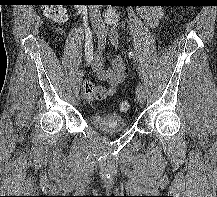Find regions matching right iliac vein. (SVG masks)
Returning <instances> with one entry per match:
<instances>
[{
	"instance_id": "1",
	"label": "right iliac vein",
	"mask_w": 217,
	"mask_h": 197,
	"mask_svg": "<svg viewBox=\"0 0 217 197\" xmlns=\"http://www.w3.org/2000/svg\"><path fill=\"white\" fill-rule=\"evenodd\" d=\"M94 32H95V34L99 35V34H100L99 28H95V29H94ZM73 102H74L75 105H78V104H79V102H80V97H79V94H78V93H75V94H74Z\"/></svg>"
}]
</instances>
